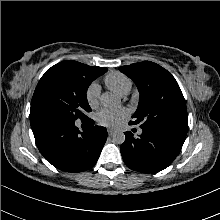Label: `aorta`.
<instances>
[{
  "label": "aorta",
  "instance_id": "1",
  "mask_svg": "<svg viewBox=\"0 0 220 220\" xmlns=\"http://www.w3.org/2000/svg\"><path fill=\"white\" fill-rule=\"evenodd\" d=\"M101 104L106 107V108H110L113 107L115 105H117L119 103V100L116 96L109 94V93H104L101 95L100 98ZM125 134L121 131L115 132L113 134V141L116 144H122L125 141Z\"/></svg>",
  "mask_w": 220,
  "mask_h": 220
}]
</instances>
